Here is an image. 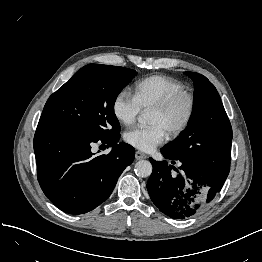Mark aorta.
<instances>
[{
  "label": "aorta",
  "instance_id": "1",
  "mask_svg": "<svg viewBox=\"0 0 262 262\" xmlns=\"http://www.w3.org/2000/svg\"><path fill=\"white\" fill-rule=\"evenodd\" d=\"M150 120L149 113H143L139 115L138 122L141 125H145ZM135 173L137 176L145 178L151 175L152 173V164L147 160H140L135 164Z\"/></svg>",
  "mask_w": 262,
  "mask_h": 262
}]
</instances>
